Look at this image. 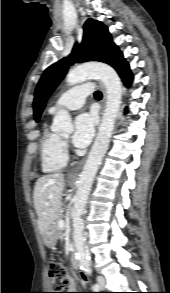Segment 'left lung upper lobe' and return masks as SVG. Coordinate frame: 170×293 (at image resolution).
Instances as JSON below:
<instances>
[{
  "label": "left lung upper lobe",
  "instance_id": "5c2ea615",
  "mask_svg": "<svg viewBox=\"0 0 170 293\" xmlns=\"http://www.w3.org/2000/svg\"><path fill=\"white\" fill-rule=\"evenodd\" d=\"M121 54L112 42L108 28L97 20L88 19L84 25L83 39L75 45L71 55L48 67L43 73L35 91L33 103L34 118L39 121L45 103L74 62L100 61L111 65Z\"/></svg>",
  "mask_w": 170,
  "mask_h": 293
}]
</instances>
